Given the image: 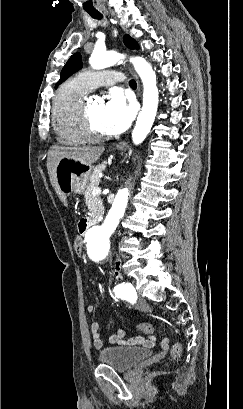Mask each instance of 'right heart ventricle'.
Listing matches in <instances>:
<instances>
[{
    "instance_id": "e07e8e85",
    "label": "right heart ventricle",
    "mask_w": 243,
    "mask_h": 409,
    "mask_svg": "<svg viewBox=\"0 0 243 409\" xmlns=\"http://www.w3.org/2000/svg\"><path fill=\"white\" fill-rule=\"evenodd\" d=\"M89 91L80 77L66 80L57 90L52 103V125L61 143L76 146L87 141L81 106Z\"/></svg>"
}]
</instances>
